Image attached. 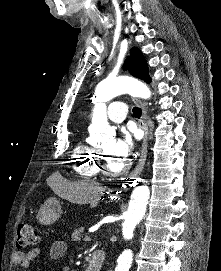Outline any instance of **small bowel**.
Segmentation results:
<instances>
[{"label":"small bowel","instance_id":"1","mask_svg":"<svg viewBox=\"0 0 221 271\" xmlns=\"http://www.w3.org/2000/svg\"><path fill=\"white\" fill-rule=\"evenodd\" d=\"M67 250V245L62 240H57L53 242L49 250V257L51 260H58L62 258ZM40 248L31 249L28 252L16 251L12 255V264L16 270L21 268H27L30 266L31 262L35 261L40 255ZM61 271H70L68 266H64Z\"/></svg>","mask_w":221,"mask_h":271}]
</instances>
